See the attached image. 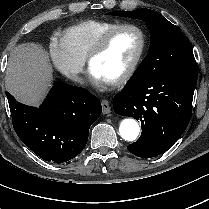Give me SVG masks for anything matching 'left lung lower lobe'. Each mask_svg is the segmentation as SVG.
Returning a JSON list of instances; mask_svg holds the SVG:
<instances>
[{
  "mask_svg": "<svg viewBox=\"0 0 209 209\" xmlns=\"http://www.w3.org/2000/svg\"><path fill=\"white\" fill-rule=\"evenodd\" d=\"M196 83V63L157 77L132 75L113 99L117 114L141 121L140 138L127 147L132 154L155 157L179 139L191 118Z\"/></svg>",
  "mask_w": 209,
  "mask_h": 209,
  "instance_id": "0a47b994",
  "label": "left lung lower lobe"
}]
</instances>
